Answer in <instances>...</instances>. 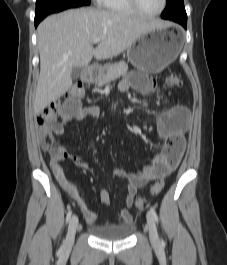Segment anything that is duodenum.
<instances>
[{"instance_id": "410a0bca", "label": "duodenum", "mask_w": 227, "mask_h": 265, "mask_svg": "<svg viewBox=\"0 0 227 265\" xmlns=\"http://www.w3.org/2000/svg\"><path fill=\"white\" fill-rule=\"evenodd\" d=\"M95 67L94 66H87L82 73V81L84 83H91L94 79Z\"/></svg>"}]
</instances>
